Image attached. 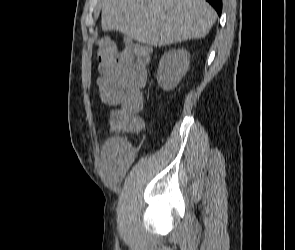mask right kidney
I'll list each match as a JSON object with an SVG mask.
<instances>
[{"mask_svg": "<svg viewBox=\"0 0 295 250\" xmlns=\"http://www.w3.org/2000/svg\"><path fill=\"white\" fill-rule=\"evenodd\" d=\"M190 63V55L185 49H173L166 52L160 62L157 81L160 87L169 91L174 89L186 74Z\"/></svg>", "mask_w": 295, "mask_h": 250, "instance_id": "1", "label": "right kidney"}]
</instances>
